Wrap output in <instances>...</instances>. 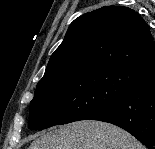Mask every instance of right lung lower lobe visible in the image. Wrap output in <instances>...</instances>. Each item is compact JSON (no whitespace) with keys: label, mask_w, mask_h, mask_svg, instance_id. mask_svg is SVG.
Listing matches in <instances>:
<instances>
[{"label":"right lung lower lobe","mask_w":155,"mask_h":149,"mask_svg":"<svg viewBox=\"0 0 155 149\" xmlns=\"http://www.w3.org/2000/svg\"><path fill=\"white\" fill-rule=\"evenodd\" d=\"M117 125L155 149V75L135 85L90 118Z\"/></svg>","instance_id":"98d812e1"}]
</instances>
